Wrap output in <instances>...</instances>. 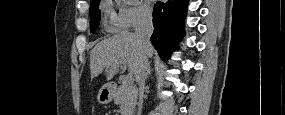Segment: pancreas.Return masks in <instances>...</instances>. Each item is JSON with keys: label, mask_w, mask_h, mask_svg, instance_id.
<instances>
[{"label": "pancreas", "mask_w": 285, "mask_h": 115, "mask_svg": "<svg viewBox=\"0 0 285 115\" xmlns=\"http://www.w3.org/2000/svg\"><path fill=\"white\" fill-rule=\"evenodd\" d=\"M137 90L123 82L115 90L114 103L120 106L121 115H131L136 104Z\"/></svg>", "instance_id": "1"}]
</instances>
